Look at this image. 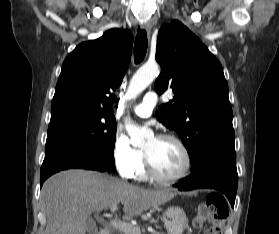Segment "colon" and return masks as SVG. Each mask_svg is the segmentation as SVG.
<instances>
[{"instance_id": "1", "label": "colon", "mask_w": 279, "mask_h": 234, "mask_svg": "<svg viewBox=\"0 0 279 234\" xmlns=\"http://www.w3.org/2000/svg\"><path fill=\"white\" fill-rule=\"evenodd\" d=\"M228 212V203L222 195H209L198 206L194 225L197 228L204 227L205 234H224Z\"/></svg>"}]
</instances>
